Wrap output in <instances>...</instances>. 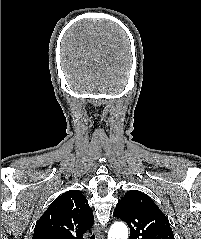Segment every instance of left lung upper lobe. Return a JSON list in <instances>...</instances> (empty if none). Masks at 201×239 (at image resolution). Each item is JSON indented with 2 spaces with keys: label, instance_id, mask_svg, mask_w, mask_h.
Returning a JSON list of instances; mask_svg holds the SVG:
<instances>
[{
  "label": "left lung upper lobe",
  "instance_id": "left-lung-upper-lobe-1",
  "mask_svg": "<svg viewBox=\"0 0 201 239\" xmlns=\"http://www.w3.org/2000/svg\"><path fill=\"white\" fill-rule=\"evenodd\" d=\"M113 216L128 224L130 239H174L166 216L149 196L138 190L126 192Z\"/></svg>",
  "mask_w": 201,
  "mask_h": 239
}]
</instances>
